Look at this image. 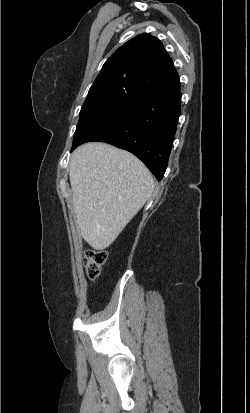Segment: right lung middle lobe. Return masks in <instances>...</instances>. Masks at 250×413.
Here are the masks:
<instances>
[{
    "label": "right lung middle lobe",
    "instance_id": "right-lung-middle-lobe-1",
    "mask_svg": "<svg viewBox=\"0 0 250 413\" xmlns=\"http://www.w3.org/2000/svg\"><path fill=\"white\" fill-rule=\"evenodd\" d=\"M140 95L136 90L123 87L90 88L80 111L71 151L108 125L129 101Z\"/></svg>",
    "mask_w": 250,
    "mask_h": 413
}]
</instances>
